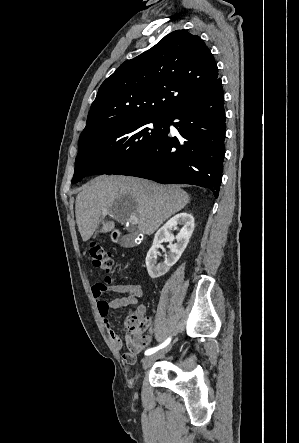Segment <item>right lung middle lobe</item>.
I'll return each mask as SVG.
<instances>
[{
    "label": "right lung middle lobe",
    "instance_id": "right-lung-middle-lobe-1",
    "mask_svg": "<svg viewBox=\"0 0 299 443\" xmlns=\"http://www.w3.org/2000/svg\"><path fill=\"white\" fill-rule=\"evenodd\" d=\"M167 131L166 117L115 123L79 140L73 183L85 176L113 174L144 156Z\"/></svg>",
    "mask_w": 299,
    "mask_h": 443
}]
</instances>
